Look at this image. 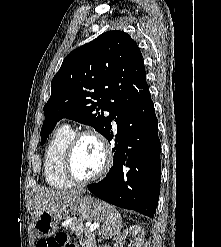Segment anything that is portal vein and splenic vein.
<instances>
[{
    "instance_id": "18ae733b",
    "label": "portal vein and splenic vein",
    "mask_w": 221,
    "mask_h": 247,
    "mask_svg": "<svg viewBox=\"0 0 221 247\" xmlns=\"http://www.w3.org/2000/svg\"><path fill=\"white\" fill-rule=\"evenodd\" d=\"M87 230H88V232H90V233L93 232V229H91V228H89V229H87Z\"/></svg>"
}]
</instances>
